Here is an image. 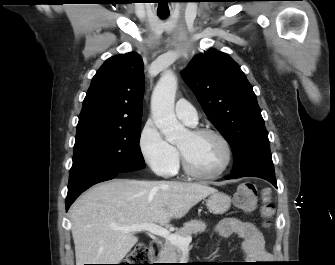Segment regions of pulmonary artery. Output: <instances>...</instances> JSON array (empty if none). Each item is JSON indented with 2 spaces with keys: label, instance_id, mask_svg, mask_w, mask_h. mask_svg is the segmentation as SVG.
<instances>
[{
  "label": "pulmonary artery",
  "instance_id": "obj_1",
  "mask_svg": "<svg viewBox=\"0 0 335 265\" xmlns=\"http://www.w3.org/2000/svg\"><path fill=\"white\" fill-rule=\"evenodd\" d=\"M176 116L186 124L194 126L198 122L195 108L185 99H180L175 105Z\"/></svg>",
  "mask_w": 335,
  "mask_h": 265
}]
</instances>
